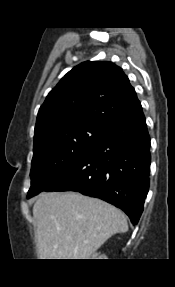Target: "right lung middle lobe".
Returning <instances> with one entry per match:
<instances>
[{
  "mask_svg": "<svg viewBox=\"0 0 175 287\" xmlns=\"http://www.w3.org/2000/svg\"><path fill=\"white\" fill-rule=\"evenodd\" d=\"M110 125L88 122L62 125L34 139L31 187L27 197L82 158L109 130Z\"/></svg>",
  "mask_w": 175,
  "mask_h": 287,
  "instance_id": "right-lung-middle-lobe-1",
  "label": "right lung middle lobe"
}]
</instances>
